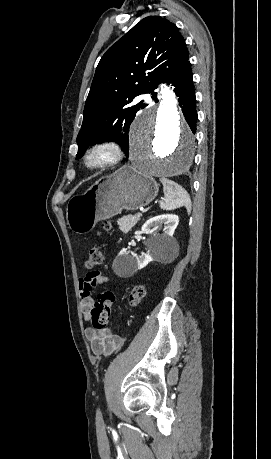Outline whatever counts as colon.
I'll return each mask as SVG.
<instances>
[{"instance_id": "5ec220e1", "label": "colon", "mask_w": 271, "mask_h": 459, "mask_svg": "<svg viewBox=\"0 0 271 459\" xmlns=\"http://www.w3.org/2000/svg\"><path fill=\"white\" fill-rule=\"evenodd\" d=\"M105 230H109L111 224L105 222L103 225ZM104 260L103 251L99 246L90 248L88 258L86 260V267L89 269L96 268L102 264ZM145 295V287L143 285H136L131 290L129 295V302L131 305H137ZM114 302V294L111 291H104L98 295L97 301L92 309L90 322L96 329L104 328L111 314L112 304Z\"/></svg>"}]
</instances>
